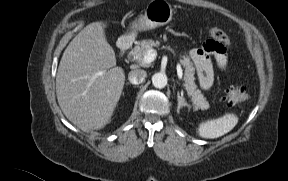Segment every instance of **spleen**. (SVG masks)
I'll list each match as a JSON object with an SVG mask.
<instances>
[{
	"label": "spleen",
	"instance_id": "obj_1",
	"mask_svg": "<svg viewBox=\"0 0 288 181\" xmlns=\"http://www.w3.org/2000/svg\"><path fill=\"white\" fill-rule=\"evenodd\" d=\"M238 123V117L234 114H225L224 116L208 120L199 124L198 133L201 137L214 139L230 132Z\"/></svg>",
	"mask_w": 288,
	"mask_h": 181
}]
</instances>
